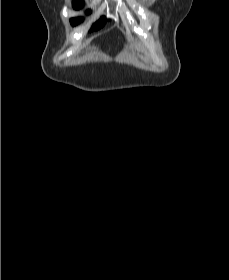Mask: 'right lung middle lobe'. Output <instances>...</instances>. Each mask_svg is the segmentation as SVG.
I'll use <instances>...</instances> for the list:
<instances>
[{
  "label": "right lung middle lobe",
  "instance_id": "obj_1",
  "mask_svg": "<svg viewBox=\"0 0 229 280\" xmlns=\"http://www.w3.org/2000/svg\"><path fill=\"white\" fill-rule=\"evenodd\" d=\"M73 6L75 9H79L83 6V3L81 0H75V1H73ZM88 13H89V11H88ZM81 21H82V18H73V19H71V24L74 26V25L80 23ZM105 21H106L105 17H102L97 23H95L93 25L92 29H95V30L100 29L101 27L104 26Z\"/></svg>",
  "mask_w": 229,
  "mask_h": 280
}]
</instances>
